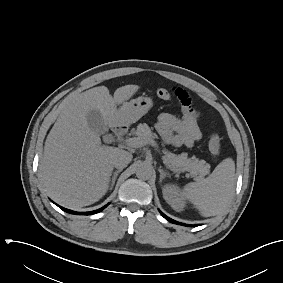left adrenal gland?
I'll return each instance as SVG.
<instances>
[{"label":"left adrenal gland","mask_w":283,"mask_h":283,"mask_svg":"<svg viewBox=\"0 0 283 283\" xmlns=\"http://www.w3.org/2000/svg\"><path fill=\"white\" fill-rule=\"evenodd\" d=\"M159 173H160V182H162V180L165 177H170L171 175L169 174V172L164 171L163 169H161V167H159L158 169Z\"/></svg>","instance_id":"left-adrenal-gland-1"}]
</instances>
